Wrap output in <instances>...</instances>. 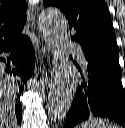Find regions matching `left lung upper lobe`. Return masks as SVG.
I'll return each instance as SVG.
<instances>
[{
    "instance_id": "1",
    "label": "left lung upper lobe",
    "mask_w": 125,
    "mask_h": 128,
    "mask_svg": "<svg viewBox=\"0 0 125 128\" xmlns=\"http://www.w3.org/2000/svg\"><path fill=\"white\" fill-rule=\"evenodd\" d=\"M44 6L65 14L71 38L81 45L86 61L118 60L115 30L103 0H44Z\"/></svg>"
}]
</instances>
